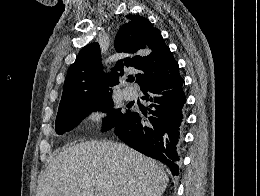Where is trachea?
I'll return each mask as SVG.
<instances>
[{
    "instance_id": "1",
    "label": "trachea",
    "mask_w": 260,
    "mask_h": 196,
    "mask_svg": "<svg viewBox=\"0 0 260 196\" xmlns=\"http://www.w3.org/2000/svg\"><path fill=\"white\" fill-rule=\"evenodd\" d=\"M134 80H135L134 76H129L128 79H127V81H130V82H132Z\"/></svg>"
}]
</instances>
